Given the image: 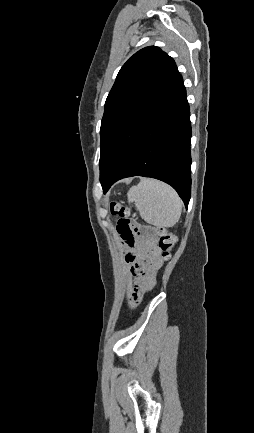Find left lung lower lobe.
<instances>
[{"label": "left lung lower lobe", "instance_id": "obj_1", "mask_svg": "<svg viewBox=\"0 0 254 433\" xmlns=\"http://www.w3.org/2000/svg\"><path fill=\"white\" fill-rule=\"evenodd\" d=\"M191 123L182 76L139 129L122 162L102 183L106 193L116 181L145 176L171 185L187 208L191 195Z\"/></svg>", "mask_w": 254, "mask_h": 433}]
</instances>
